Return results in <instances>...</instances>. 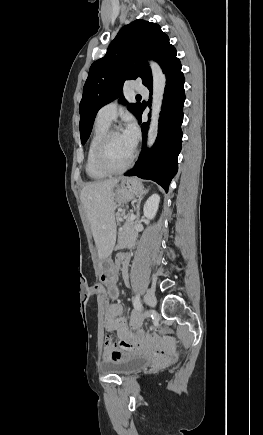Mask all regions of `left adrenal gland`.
<instances>
[{
	"label": "left adrenal gland",
	"mask_w": 263,
	"mask_h": 435,
	"mask_svg": "<svg viewBox=\"0 0 263 435\" xmlns=\"http://www.w3.org/2000/svg\"><path fill=\"white\" fill-rule=\"evenodd\" d=\"M148 191H149V189H148V190H145V191L142 193V195L139 196L138 199L135 200L136 205L134 206V209L136 210V219H137V221H138L139 218H140V204H141V201H142V199L144 198V196L147 194Z\"/></svg>",
	"instance_id": "left-adrenal-gland-1"
}]
</instances>
